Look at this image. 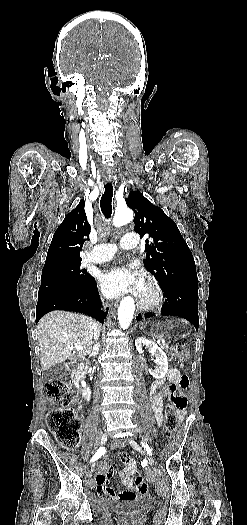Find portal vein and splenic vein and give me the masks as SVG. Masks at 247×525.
I'll use <instances>...</instances> for the list:
<instances>
[{
    "label": "portal vein and splenic vein",
    "mask_w": 247,
    "mask_h": 525,
    "mask_svg": "<svg viewBox=\"0 0 247 525\" xmlns=\"http://www.w3.org/2000/svg\"><path fill=\"white\" fill-rule=\"evenodd\" d=\"M157 346H160L161 340H156ZM74 349H78V351H83L84 347L82 345H76Z\"/></svg>",
    "instance_id": "18ae733b"
}]
</instances>
